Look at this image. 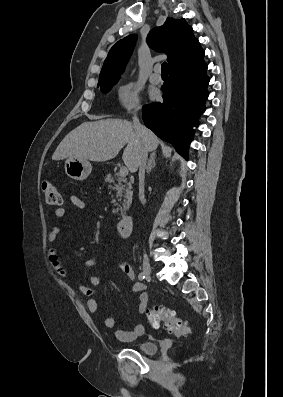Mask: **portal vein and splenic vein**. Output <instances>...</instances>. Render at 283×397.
<instances>
[{
	"label": "portal vein and splenic vein",
	"instance_id": "18ae733b",
	"mask_svg": "<svg viewBox=\"0 0 283 397\" xmlns=\"http://www.w3.org/2000/svg\"><path fill=\"white\" fill-rule=\"evenodd\" d=\"M119 174L121 176H124V177L127 176L128 175V168L125 167V166L120 167Z\"/></svg>",
	"mask_w": 283,
	"mask_h": 397
}]
</instances>
